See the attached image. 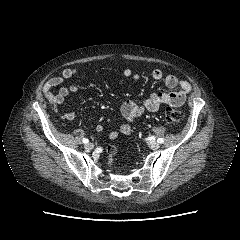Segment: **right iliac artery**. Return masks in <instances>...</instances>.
Instances as JSON below:
<instances>
[{"mask_svg":"<svg viewBox=\"0 0 240 240\" xmlns=\"http://www.w3.org/2000/svg\"><path fill=\"white\" fill-rule=\"evenodd\" d=\"M83 143L87 144L89 142V140L87 138H83Z\"/></svg>","mask_w":240,"mask_h":240,"instance_id":"1","label":"right iliac artery"}]
</instances>
